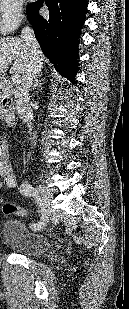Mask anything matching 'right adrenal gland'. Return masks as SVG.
Returning a JSON list of instances; mask_svg holds the SVG:
<instances>
[{"label":"right adrenal gland","instance_id":"1","mask_svg":"<svg viewBox=\"0 0 129 309\" xmlns=\"http://www.w3.org/2000/svg\"><path fill=\"white\" fill-rule=\"evenodd\" d=\"M41 77V74L39 75V78ZM40 80H36L34 85L32 86V90H35L37 87H40L43 83H40Z\"/></svg>","mask_w":129,"mask_h":309}]
</instances>
